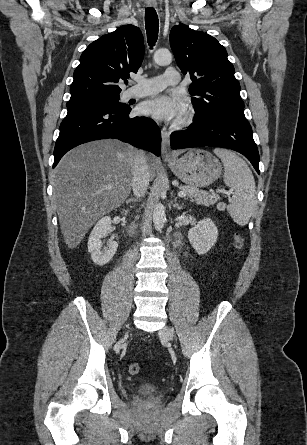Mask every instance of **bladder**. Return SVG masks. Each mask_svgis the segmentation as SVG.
<instances>
[{
	"label": "bladder",
	"instance_id": "obj_1",
	"mask_svg": "<svg viewBox=\"0 0 307 445\" xmlns=\"http://www.w3.org/2000/svg\"><path fill=\"white\" fill-rule=\"evenodd\" d=\"M157 386L153 383H146L140 386L139 390L145 394H152L157 391Z\"/></svg>",
	"mask_w": 307,
	"mask_h": 445
}]
</instances>
